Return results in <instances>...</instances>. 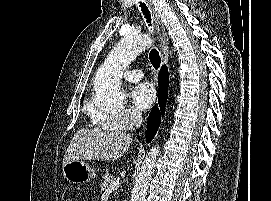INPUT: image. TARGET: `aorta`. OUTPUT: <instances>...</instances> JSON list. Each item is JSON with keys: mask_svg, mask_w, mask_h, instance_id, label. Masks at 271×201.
I'll list each match as a JSON object with an SVG mask.
<instances>
[{"mask_svg": "<svg viewBox=\"0 0 271 201\" xmlns=\"http://www.w3.org/2000/svg\"><path fill=\"white\" fill-rule=\"evenodd\" d=\"M151 43L152 39L147 34H126L114 47L98 71L95 80V100L99 106L119 107L122 105L126 96L120 86L122 73ZM159 152L157 145L152 147L147 154L136 178L130 201H145Z\"/></svg>", "mask_w": 271, "mask_h": 201, "instance_id": "aorta-1", "label": "aorta"}]
</instances>
